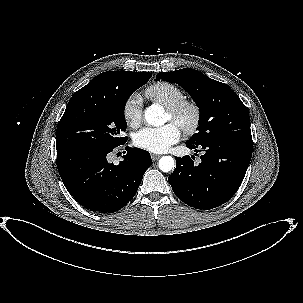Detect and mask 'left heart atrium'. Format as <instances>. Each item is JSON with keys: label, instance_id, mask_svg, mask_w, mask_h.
Wrapping results in <instances>:
<instances>
[{"label": "left heart atrium", "instance_id": "39dd6f15", "mask_svg": "<svg viewBox=\"0 0 303 303\" xmlns=\"http://www.w3.org/2000/svg\"><path fill=\"white\" fill-rule=\"evenodd\" d=\"M180 137L179 126L170 122L157 128H142L134 135L133 143L140 149L153 153H163L177 143Z\"/></svg>", "mask_w": 303, "mask_h": 303}]
</instances>
